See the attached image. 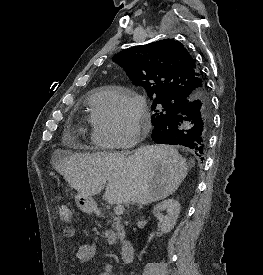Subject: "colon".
I'll use <instances>...</instances> for the list:
<instances>
[{
    "mask_svg": "<svg viewBox=\"0 0 263 275\" xmlns=\"http://www.w3.org/2000/svg\"><path fill=\"white\" fill-rule=\"evenodd\" d=\"M58 216L63 222H70L72 219V210L68 205H61L58 209Z\"/></svg>",
    "mask_w": 263,
    "mask_h": 275,
    "instance_id": "5ec220e1",
    "label": "colon"
}]
</instances>
